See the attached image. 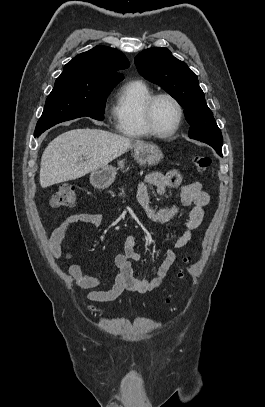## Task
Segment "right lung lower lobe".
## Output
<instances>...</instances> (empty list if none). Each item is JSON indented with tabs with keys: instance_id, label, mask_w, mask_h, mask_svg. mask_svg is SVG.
<instances>
[{
	"instance_id": "right-lung-lower-lobe-1",
	"label": "right lung lower lobe",
	"mask_w": 265,
	"mask_h": 407,
	"mask_svg": "<svg viewBox=\"0 0 265 407\" xmlns=\"http://www.w3.org/2000/svg\"><path fill=\"white\" fill-rule=\"evenodd\" d=\"M35 137H39L40 135H34Z\"/></svg>"
}]
</instances>
